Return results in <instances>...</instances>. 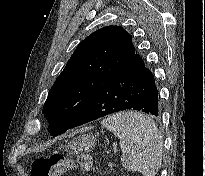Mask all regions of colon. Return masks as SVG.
Segmentation results:
<instances>
[{"label":"colon","mask_w":205,"mask_h":176,"mask_svg":"<svg viewBox=\"0 0 205 176\" xmlns=\"http://www.w3.org/2000/svg\"><path fill=\"white\" fill-rule=\"evenodd\" d=\"M75 163L84 169L91 167V159L87 155H80L74 160L64 154L54 153L49 157L34 161L30 166V173L31 176H62Z\"/></svg>","instance_id":"1"}]
</instances>
